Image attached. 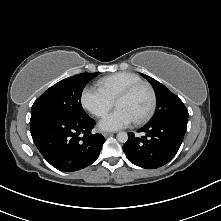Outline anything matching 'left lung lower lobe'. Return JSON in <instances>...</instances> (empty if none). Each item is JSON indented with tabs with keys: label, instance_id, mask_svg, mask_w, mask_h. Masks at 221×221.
<instances>
[{
	"label": "left lung lower lobe",
	"instance_id": "left-lung-lower-lobe-1",
	"mask_svg": "<svg viewBox=\"0 0 221 221\" xmlns=\"http://www.w3.org/2000/svg\"><path fill=\"white\" fill-rule=\"evenodd\" d=\"M188 118L175 117L157 123H148L137 132L129 133L123 146L127 159L142 168L155 169L167 164L177 153L183 141Z\"/></svg>",
	"mask_w": 221,
	"mask_h": 221
}]
</instances>
